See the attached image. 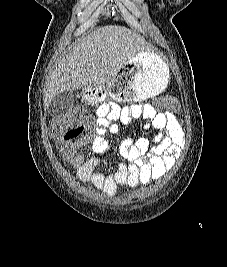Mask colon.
<instances>
[{
    "label": "colon",
    "instance_id": "colon-1",
    "mask_svg": "<svg viewBox=\"0 0 227 267\" xmlns=\"http://www.w3.org/2000/svg\"><path fill=\"white\" fill-rule=\"evenodd\" d=\"M156 106L159 108L164 107L171 111H177L179 109L177 99L172 96L158 99ZM86 117V109L81 105L75 106L63 115L51 118L46 126V131L51 138H60L69 128L82 124Z\"/></svg>",
    "mask_w": 227,
    "mask_h": 267
}]
</instances>
